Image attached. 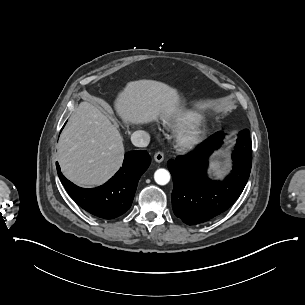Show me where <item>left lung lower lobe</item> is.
<instances>
[{
  "mask_svg": "<svg viewBox=\"0 0 305 305\" xmlns=\"http://www.w3.org/2000/svg\"><path fill=\"white\" fill-rule=\"evenodd\" d=\"M225 133L217 132L193 152L168 161L173 176L172 208L187 225L204 223L226 211L242 193L252 166L250 132H239L232 159L233 171L222 182L207 177L208 159Z\"/></svg>",
  "mask_w": 305,
  "mask_h": 305,
  "instance_id": "1",
  "label": "left lung lower lobe"
}]
</instances>
